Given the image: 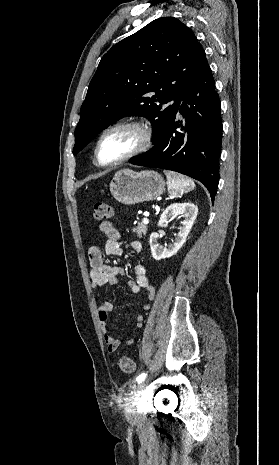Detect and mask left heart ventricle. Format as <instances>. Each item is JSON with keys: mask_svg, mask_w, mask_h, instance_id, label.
<instances>
[{"mask_svg": "<svg viewBox=\"0 0 279 465\" xmlns=\"http://www.w3.org/2000/svg\"><path fill=\"white\" fill-rule=\"evenodd\" d=\"M141 141V134L133 128H121L104 137L99 149L104 163L115 161L133 151Z\"/></svg>", "mask_w": 279, "mask_h": 465, "instance_id": "left-heart-ventricle-1", "label": "left heart ventricle"}]
</instances>
